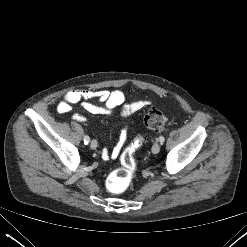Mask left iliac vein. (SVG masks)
I'll use <instances>...</instances> for the list:
<instances>
[{
	"label": "left iliac vein",
	"instance_id": "left-iliac-vein-1",
	"mask_svg": "<svg viewBox=\"0 0 247 247\" xmlns=\"http://www.w3.org/2000/svg\"><path fill=\"white\" fill-rule=\"evenodd\" d=\"M160 149H161V145L159 143H155L152 146V153L157 154L159 153Z\"/></svg>",
	"mask_w": 247,
	"mask_h": 247
}]
</instances>
